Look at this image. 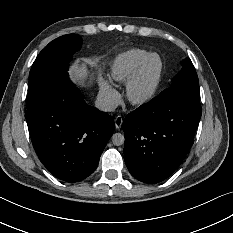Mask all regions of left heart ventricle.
<instances>
[{"instance_id":"obj_1","label":"left heart ventricle","mask_w":233,"mask_h":233,"mask_svg":"<svg viewBox=\"0 0 233 233\" xmlns=\"http://www.w3.org/2000/svg\"><path fill=\"white\" fill-rule=\"evenodd\" d=\"M162 67V60L158 57H155L146 72L144 73L142 79L135 88V95L137 97H144L150 93L152 90Z\"/></svg>"}]
</instances>
